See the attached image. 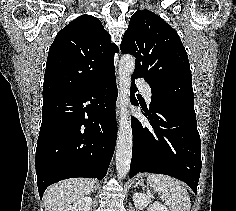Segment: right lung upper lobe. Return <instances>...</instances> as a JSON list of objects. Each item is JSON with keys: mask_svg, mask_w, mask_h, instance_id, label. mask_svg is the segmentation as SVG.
I'll return each instance as SVG.
<instances>
[{"mask_svg": "<svg viewBox=\"0 0 236 211\" xmlns=\"http://www.w3.org/2000/svg\"><path fill=\"white\" fill-rule=\"evenodd\" d=\"M118 47L100 20L82 15L60 30L52 43L44 75L43 99L91 88L115 72Z\"/></svg>", "mask_w": 236, "mask_h": 211, "instance_id": "right-lung-upper-lobe-1", "label": "right lung upper lobe"}]
</instances>
